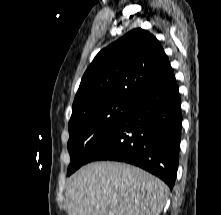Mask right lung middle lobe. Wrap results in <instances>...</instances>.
I'll list each match as a JSON object with an SVG mask.
<instances>
[{
	"label": "right lung middle lobe",
	"instance_id": "obj_1",
	"mask_svg": "<svg viewBox=\"0 0 221 215\" xmlns=\"http://www.w3.org/2000/svg\"><path fill=\"white\" fill-rule=\"evenodd\" d=\"M132 104L106 100L72 108L67 144L71 157L68 176L87 163L90 154L130 111Z\"/></svg>",
	"mask_w": 221,
	"mask_h": 215
}]
</instances>
